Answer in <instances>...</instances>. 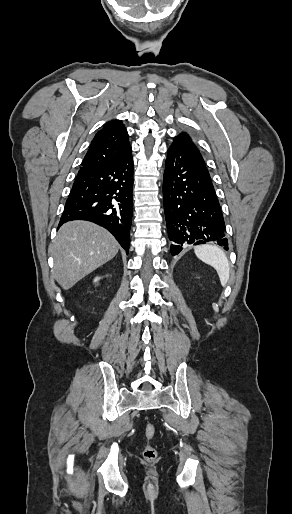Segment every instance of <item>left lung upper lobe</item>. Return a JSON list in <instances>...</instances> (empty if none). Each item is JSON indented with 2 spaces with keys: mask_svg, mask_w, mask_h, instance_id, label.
I'll list each match as a JSON object with an SVG mask.
<instances>
[{
  "mask_svg": "<svg viewBox=\"0 0 292 514\" xmlns=\"http://www.w3.org/2000/svg\"><path fill=\"white\" fill-rule=\"evenodd\" d=\"M176 142H185V143L190 144L196 150V152L200 155L203 163L205 164L202 154L200 153L199 149L197 148L196 144L193 142L192 138L190 137V135L188 133H186V132L180 133L178 136H176L174 138L173 143H176Z\"/></svg>",
  "mask_w": 292,
  "mask_h": 514,
  "instance_id": "5c2ea615",
  "label": "left lung upper lobe"
}]
</instances>
